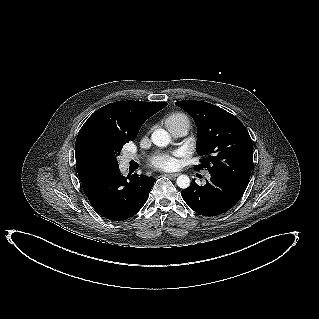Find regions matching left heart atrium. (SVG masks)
<instances>
[{
	"mask_svg": "<svg viewBox=\"0 0 319 319\" xmlns=\"http://www.w3.org/2000/svg\"><path fill=\"white\" fill-rule=\"evenodd\" d=\"M149 164L155 169L171 170L176 167L177 160L174 155L159 154V155L153 156L149 160Z\"/></svg>",
	"mask_w": 319,
	"mask_h": 319,
	"instance_id": "1",
	"label": "left heart atrium"
}]
</instances>
